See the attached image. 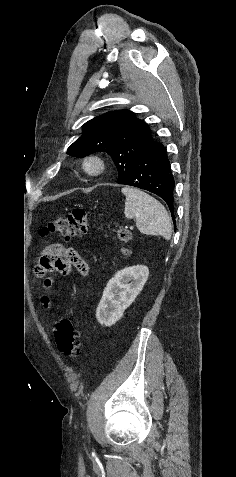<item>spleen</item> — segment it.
<instances>
[{"label":"spleen","instance_id":"obj_1","mask_svg":"<svg viewBox=\"0 0 236 477\" xmlns=\"http://www.w3.org/2000/svg\"><path fill=\"white\" fill-rule=\"evenodd\" d=\"M126 196L125 216L136 219L141 233L160 235L170 240L172 232L171 219L164 206L149 194L131 187L122 188Z\"/></svg>","mask_w":236,"mask_h":477}]
</instances>
